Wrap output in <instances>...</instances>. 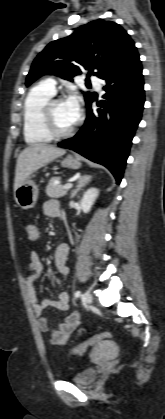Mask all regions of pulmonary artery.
Listing matches in <instances>:
<instances>
[{"instance_id":"pulmonary-artery-1","label":"pulmonary artery","mask_w":165,"mask_h":419,"mask_svg":"<svg viewBox=\"0 0 165 419\" xmlns=\"http://www.w3.org/2000/svg\"><path fill=\"white\" fill-rule=\"evenodd\" d=\"M91 83L95 86L96 89L101 88L102 81L96 77V76H90ZM44 85H46L51 91L55 93L56 91V81L53 78H48L44 82Z\"/></svg>"}]
</instances>
